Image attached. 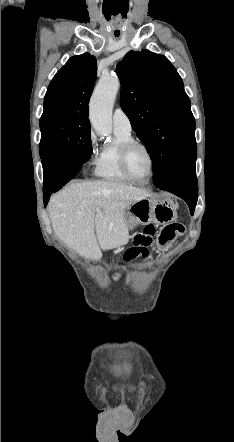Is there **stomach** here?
Returning a JSON list of instances; mask_svg holds the SVG:
<instances>
[{
    "mask_svg": "<svg viewBox=\"0 0 234 442\" xmlns=\"http://www.w3.org/2000/svg\"><path fill=\"white\" fill-rule=\"evenodd\" d=\"M177 218L176 206L169 196L145 197L133 202L125 211L124 223L128 230L149 223L167 224Z\"/></svg>",
    "mask_w": 234,
    "mask_h": 442,
    "instance_id": "0dacf381",
    "label": "stomach"
}]
</instances>
